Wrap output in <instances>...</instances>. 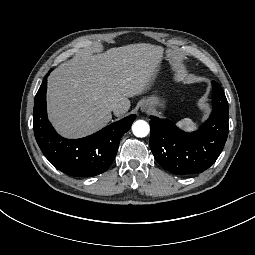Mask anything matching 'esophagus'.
Here are the masks:
<instances>
[{"label":"esophagus","mask_w":255,"mask_h":255,"mask_svg":"<svg viewBox=\"0 0 255 255\" xmlns=\"http://www.w3.org/2000/svg\"><path fill=\"white\" fill-rule=\"evenodd\" d=\"M141 111H142V112H147V111H148V107L143 106V107L141 108Z\"/></svg>","instance_id":"34e87169"}]
</instances>
